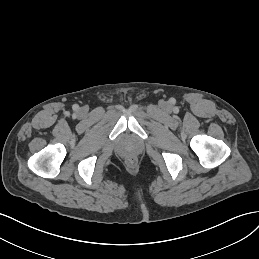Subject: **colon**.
Masks as SVG:
<instances>
[{
    "mask_svg": "<svg viewBox=\"0 0 259 259\" xmlns=\"http://www.w3.org/2000/svg\"><path fill=\"white\" fill-rule=\"evenodd\" d=\"M127 162H128V164L132 165V164H134V163L136 162V160H135L134 157H129V158L127 159Z\"/></svg>",
    "mask_w": 259,
    "mask_h": 259,
    "instance_id": "5ec220e1",
    "label": "colon"
}]
</instances>
